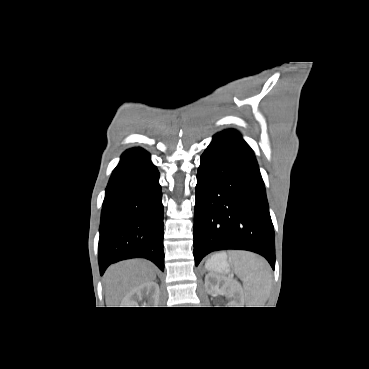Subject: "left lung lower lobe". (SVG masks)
Segmentation results:
<instances>
[{
    "label": "left lung lower lobe",
    "mask_w": 369,
    "mask_h": 369,
    "mask_svg": "<svg viewBox=\"0 0 369 369\" xmlns=\"http://www.w3.org/2000/svg\"><path fill=\"white\" fill-rule=\"evenodd\" d=\"M194 258L242 249L275 269L274 229L257 161L235 130L216 134L201 156L194 210Z\"/></svg>",
    "instance_id": "1"
}]
</instances>
